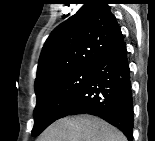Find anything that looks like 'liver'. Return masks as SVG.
Here are the masks:
<instances>
[{
    "mask_svg": "<svg viewBox=\"0 0 155 141\" xmlns=\"http://www.w3.org/2000/svg\"><path fill=\"white\" fill-rule=\"evenodd\" d=\"M39 141H127L118 129L91 115L65 117L50 125Z\"/></svg>",
    "mask_w": 155,
    "mask_h": 141,
    "instance_id": "liver-1",
    "label": "liver"
}]
</instances>
